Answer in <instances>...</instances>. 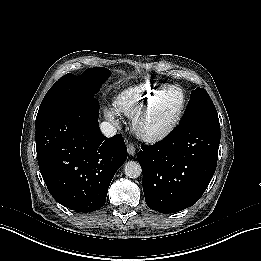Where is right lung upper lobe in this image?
<instances>
[{
    "label": "right lung upper lobe",
    "instance_id": "cb5924a9",
    "mask_svg": "<svg viewBox=\"0 0 261 261\" xmlns=\"http://www.w3.org/2000/svg\"><path fill=\"white\" fill-rule=\"evenodd\" d=\"M91 69H106V68L98 67V68H91Z\"/></svg>",
    "mask_w": 261,
    "mask_h": 261
}]
</instances>
